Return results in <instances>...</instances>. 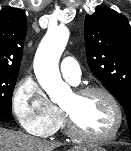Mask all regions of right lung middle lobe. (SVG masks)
Listing matches in <instances>:
<instances>
[{
	"label": "right lung middle lobe",
	"instance_id": "dd1d6c3e",
	"mask_svg": "<svg viewBox=\"0 0 131 151\" xmlns=\"http://www.w3.org/2000/svg\"><path fill=\"white\" fill-rule=\"evenodd\" d=\"M19 71H0V117L12 115V94Z\"/></svg>",
	"mask_w": 131,
	"mask_h": 151
}]
</instances>
